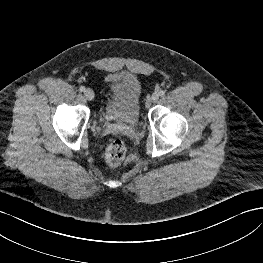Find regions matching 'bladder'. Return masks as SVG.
Returning a JSON list of instances; mask_svg holds the SVG:
<instances>
[{
	"label": "bladder",
	"mask_w": 263,
	"mask_h": 263,
	"mask_svg": "<svg viewBox=\"0 0 263 263\" xmlns=\"http://www.w3.org/2000/svg\"><path fill=\"white\" fill-rule=\"evenodd\" d=\"M107 88L103 118L130 127H136L140 121V100L142 86L133 74L113 73L105 78Z\"/></svg>",
	"instance_id": "31cf9c89"
}]
</instances>
